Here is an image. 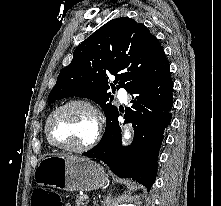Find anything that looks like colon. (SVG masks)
Wrapping results in <instances>:
<instances>
[{
	"mask_svg": "<svg viewBox=\"0 0 221 206\" xmlns=\"http://www.w3.org/2000/svg\"><path fill=\"white\" fill-rule=\"evenodd\" d=\"M32 206H64L59 194L45 188L36 189L31 198Z\"/></svg>",
	"mask_w": 221,
	"mask_h": 206,
	"instance_id": "1",
	"label": "colon"
}]
</instances>
